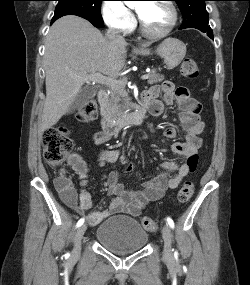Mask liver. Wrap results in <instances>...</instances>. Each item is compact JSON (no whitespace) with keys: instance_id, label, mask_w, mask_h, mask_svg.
<instances>
[{"instance_id":"obj_1","label":"liver","mask_w":250,"mask_h":285,"mask_svg":"<svg viewBox=\"0 0 250 285\" xmlns=\"http://www.w3.org/2000/svg\"><path fill=\"white\" fill-rule=\"evenodd\" d=\"M126 47L125 41L104 37L80 17L57 20L45 43L46 100L41 131L51 128L69 110L86 77L95 73L114 76L121 71Z\"/></svg>"}]
</instances>
